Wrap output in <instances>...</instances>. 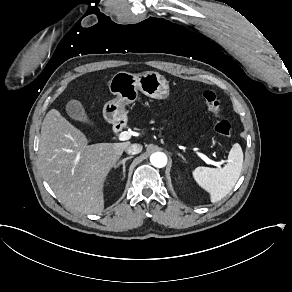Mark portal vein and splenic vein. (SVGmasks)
I'll list each match as a JSON object with an SVG mask.
<instances>
[{
    "mask_svg": "<svg viewBox=\"0 0 292 292\" xmlns=\"http://www.w3.org/2000/svg\"><path fill=\"white\" fill-rule=\"evenodd\" d=\"M131 136H132L131 131H123L119 135V140H121V141L129 140L131 138ZM199 156L201 157V159L205 163L214 165V166H216L218 168H220L221 164L223 163V161H221V162L213 161V160L209 159L206 155H203V154H199Z\"/></svg>",
    "mask_w": 292,
    "mask_h": 292,
    "instance_id": "portal-vein-and-splenic-vein-1",
    "label": "portal vein and splenic vein"
}]
</instances>
